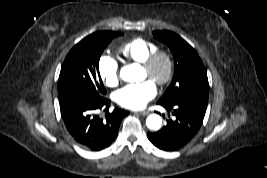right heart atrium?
Returning a JSON list of instances; mask_svg holds the SVG:
<instances>
[{"label": "right heart atrium", "mask_w": 267, "mask_h": 178, "mask_svg": "<svg viewBox=\"0 0 267 178\" xmlns=\"http://www.w3.org/2000/svg\"><path fill=\"white\" fill-rule=\"evenodd\" d=\"M98 73L103 83L114 88L119 83V66L117 61L108 54H103L98 61Z\"/></svg>", "instance_id": "obj_1"}]
</instances>
